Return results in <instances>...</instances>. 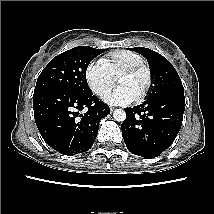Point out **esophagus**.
<instances>
[{
    "label": "esophagus",
    "instance_id": "esophagus-1",
    "mask_svg": "<svg viewBox=\"0 0 214 214\" xmlns=\"http://www.w3.org/2000/svg\"><path fill=\"white\" fill-rule=\"evenodd\" d=\"M110 112H113L114 111V107H110Z\"/></svg>",
    "mask_w": 214,
    "mask_h": 214
}]
</instances>
